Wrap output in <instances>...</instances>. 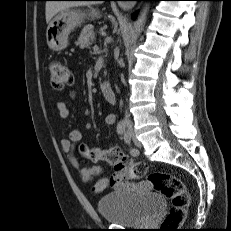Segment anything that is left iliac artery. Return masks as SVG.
Segmentation results:
<instances>
[{
	"mask_svg": "<svg viewBox=\"0 0 231 231\" xmlns=\"http://www.w3.org/2000/svg\"><path fill=\"white\" fill-rule=\"evenodd\" d=\"M124 141L130 147V154L133 156H137L139 154L138 150L131 147V134L130 133L127 132L124 134Z\"/></svg>",
	"mask_w": 231,
	"mask_h": 231,
	"instance_id": "obj_1",
	"label": "left iliac artery"
}]
</instances>
